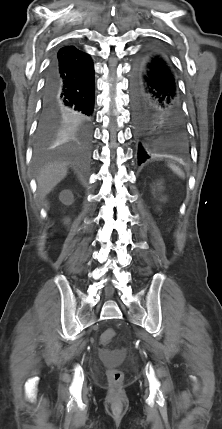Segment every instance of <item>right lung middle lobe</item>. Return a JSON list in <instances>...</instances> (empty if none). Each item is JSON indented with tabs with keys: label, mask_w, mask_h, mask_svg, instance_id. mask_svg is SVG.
I'll return each instance as SVG.
<instances>
[{
	"label": "right lung middle lobe",
	"mask_w": 222,
	"mask_h": 429,
	"mask_svg": "<svg viewBox=\"0 0 222 429\" xmlns=\"http://www.w3.org/2000/svg\"><path fill=\"white\" fill-rule=\"evenodd\" d=\"M57 129L39 127L37 131V147L42 148L59 136Z\"/></svg>",
	"instance_id": "1"
}]
</instances>
